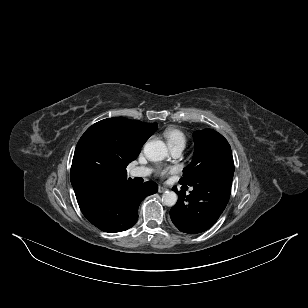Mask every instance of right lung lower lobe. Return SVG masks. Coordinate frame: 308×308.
I'll use <instances>...</instances> for the list:
<instances>
[{
    "mask_svg": "<svg viewBox=\"0 0 308 308\" xmlns=\"http://www.w3.org/2000/svg\"><path fill=\"white\" fill-rule=\"evenodd\" d=\"M157 190L158 187L153 182L136 184L130 181L79 207L83 215L100 230L120 232L136 223L140 202Z\"/></svg>",
    "mask_w": 308,
    "mask_h": 308,
    "instance_id": "obj_1",
    "label": "right lung lower lobe"
}]
</instances>
